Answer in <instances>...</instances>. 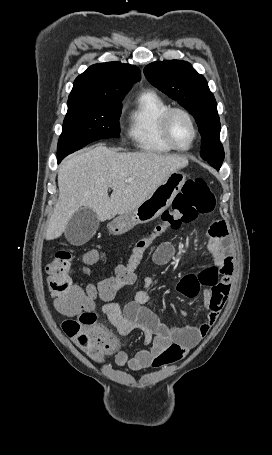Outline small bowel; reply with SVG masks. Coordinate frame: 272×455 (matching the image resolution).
Instances as JSON below:
<instances>
[{
    "label": "small bowel",
    "mask_w": 272,
    "mask_h": 455,
    "mask_svg": "<svg viewBox=\"0 0 272 455\" xmlns=\"http://www.w3.org/2000/svg\"><path fill=\"white\" fill-rule=\"evenodd\" d=\"M174 251L172 243H161L153 254L154 262L167 263ZM208 251L212 265L198 274L184 276L178 284V291L187 298L198 297L202 288L207 287L202 292L207 310L204 323L184 327L163 323L147 293L152 283L150 275L145 277L143 288L124 307L115 301H108L102 306L103 313L121 336H128L135 329L154 335L149 348L141 349L133 355L125 351L117 352L115 362L118 366L138 371L173 364L184 358L207 335L225 305L234 271L228 228L224 222L216 221L212 224Z\"/></svg>",
    "instance_id": "1"
}]
</instances>
